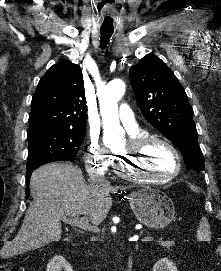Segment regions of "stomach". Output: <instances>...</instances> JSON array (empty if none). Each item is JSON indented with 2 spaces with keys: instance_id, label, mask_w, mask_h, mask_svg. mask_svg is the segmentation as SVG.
Wrapping results in <instances>:
<instances>
[{
  "instance_id": "obj_1",
  "label": "stomach",
  "mask_w": 221,
  "mask_h": 271,
  "mask_svg": "<svg viewBox=\"0 0 221 271\" xmlns=\"http://www.w3.org/2000/svg\"><path fill=\"white\" fill-rule=\"evenodd\" d=\"M129 199L135 217L147 227L162 229L171 223L175 215L172 199L163 191L137 189L130 193Z\"/></svg>"
}]
</instances>
